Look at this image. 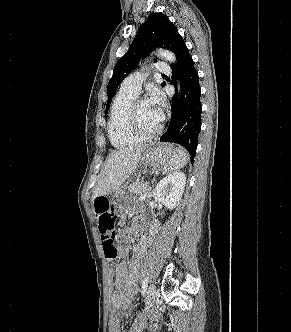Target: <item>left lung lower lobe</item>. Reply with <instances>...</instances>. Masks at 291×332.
Segmentation results:
<instances>
[{
  "label": "left lung lower lobe",
  "mask_w": 291,
  "mask_h": 332,
  "mask_svg": "<svg viewBox=\"0 0 291 332\" xmlns=\"http://www.w3.org/2000/svg\"><path fill=\"white\" fill-rule=\"evenodd\" d=\"M177 61V65L172 67L174 69L172 83L176 86V79L179 78L182 90L179 98L177 92L172 98L171 120L161 139L182 144L194 159L201 130L199 76L187 47Z\"/></svg>",
  "instance_id": "left-lung-lower-lobe-1"
}]
</instances>
